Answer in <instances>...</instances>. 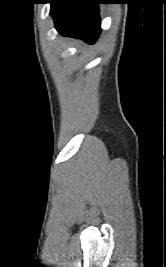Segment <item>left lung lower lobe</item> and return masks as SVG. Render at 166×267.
I'll use <instances>...</instances> for the list:
<instances>
[{
  "label": "left lung lower lobe",
  "instance_id": "obj_1",
  "mask_svg": "<svg viewBox=\"0 0 166 267\" xmlns=\"http://www.w3.org/2000/svg\"><path fill=\"white\" fill-rule=\"evenodd\" d=\"M51 15L60 34L93 44L101 31L99 0H50Z\"/></svg>",
  "mask_w": 166,
  "mask_h": 267
}]
</instances>
